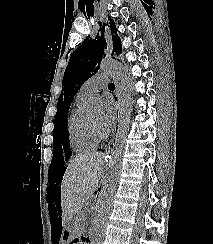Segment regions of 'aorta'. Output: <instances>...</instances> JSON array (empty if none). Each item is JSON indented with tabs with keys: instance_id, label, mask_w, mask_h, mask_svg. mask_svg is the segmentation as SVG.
<instances>
[{
	"instance_id": "1",
	"label": "aorta",
	"mask_w": 213,
	"mask_h": 244,
	"mask_svg": "<svg viewBox=\"0 0 213 244\" xmlns=\"http://www.w3.org/2000/svg\"><path fill=\"white\" fill-rule=\"evenodd\" d=\"M100 69L109 73L118 89L119 115L115 144L109 160V170L103 180L101 191L93 212V233L91 244H104L107 222L113 207L114 195L122 170L123 154L131 123L129 82L124 76L123 66L117 60L105 58L101 61ZM103 104L99 99H91L88 110L92 114L102 111Z\"/></svg>"
}]
</instances>
